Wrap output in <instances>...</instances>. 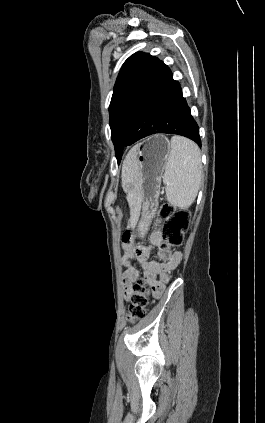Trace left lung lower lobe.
Here are the masks:
<instances>
[{
  "label": "left lung lower lobe",
  "instance_id": "obj_1",
  "mask_svg": "<svg viewBox=\"0 0 265 423\" xmlns=\"http://www.w3.org/2000/svg\"><path fill=\"white\" fill-rule=\"evenodd\" d=\"M156 133L185 136L201 146L199 128L172 72L155 59L135 98L124 146Z\"/></svg>",
  "mask_w": 265,
  "mask_h": 423
}]
</instances>
